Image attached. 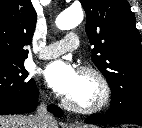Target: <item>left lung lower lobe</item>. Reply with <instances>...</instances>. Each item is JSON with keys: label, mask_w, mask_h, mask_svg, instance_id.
Instances as JSON below:
<instances>
[{"label": "left lung lower lobe", "mask_w": 142, "mask_h": 128, "mask_svg": "<svg viewBox=\"0 0 142 128\" xmlns=\"http://www.w3.org/2000/svg\"><path fill=\"white\" fill-rule=\"evenodd\" d=\"M88 124H137L142 126V104L123 110L109 109L106 114H96L85 120Z\"/></svg>", "instance_id": "obj_1"}]
</instances>
